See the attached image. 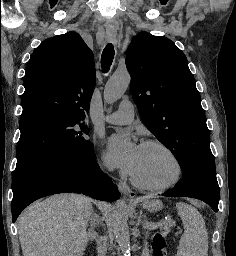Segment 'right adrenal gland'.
<instances>
[{"label":"right adrenal gland","mask_w":236,"mask_h":256,"mask_svg":"<svg viewBox=\"0 0 236 256\" xmlns=\"http://www.w3.org/2000/svg\"><path fill=\"white\" fill-rule=\"evenodd\" d=\"M92 214H91V226H90V230L89 232H92V230H94V228H96V226H99L100 224V216H98V214H95L94 210H91Z\"/></svg>","instance_id":"1"}]
</instances>
